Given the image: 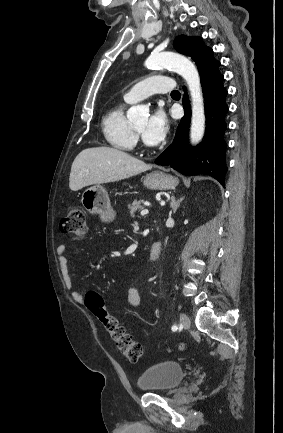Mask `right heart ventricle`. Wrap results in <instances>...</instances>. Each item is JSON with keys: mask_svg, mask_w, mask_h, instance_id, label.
<instances>
[{"mask_svg": "<svg viewBox=\"0 0 283 433\" xmlns=\"http://www.w3.org/2000/svg\"><path fill=\"white\" fill-rule=\"evenodd\" d=\"M126 103L116 105L102 117V131L106 140L116 149L135 142L132 123L125 115Z\"/></svg>", "mask_w": 283, "mask_h": 433, "instance_id": "1", "label": "right heart ventricle"}]
</instances>
